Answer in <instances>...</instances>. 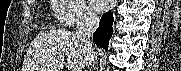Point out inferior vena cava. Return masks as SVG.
Returning a JSON list of instances; mask_svg holds the SVG:
<instances>
[{"label":"inferior vena cava","instance_id":"obj_1","mask_svg":"<svg viewBox=\"0 0 181 71\" xmlns=\"http://www.w3.org/2000/svg\"><path fill=\"white\" fill-rule=\"evenodd\" d=\"M99 25V17L91 12L83 14L77 24L76 37L78 42L87 52V65L89 68L96 64V53L90 40Z\"/></svg>","mask_w":181,"mask_h":71}]
</instances>
